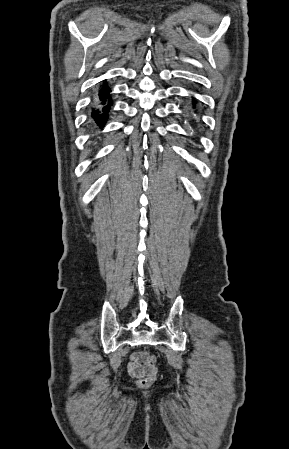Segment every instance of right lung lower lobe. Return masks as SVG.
Segmentation results:
<instances>
[{"mask_svg":"<svg viewBox=\"0 0 289 449\" xmlns=\"http://www.w3.org/2000/svg\"><path fill=\"white\" fill-rule=\"evenodd\" d=\"M110 89L106 82L100 86L99 98L96 100V106L92 109L91 117L100 128H103L109 116L110 106L113 104L109 95Z\"/></svg>","mask_w":289,"mask_h":449,"instance_id":"98d812e1","label":"right lung lower lobe"}]
</instances>
